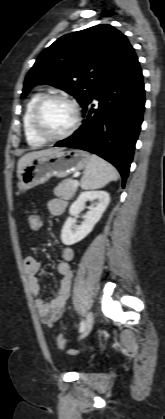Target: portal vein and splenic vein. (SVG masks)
Masks as SVG:
<instances>
[{"instance_id": "18ae733b", "label": "portal vein and splenic vein", "mask_w": 165, "mask_h": 419, "mask_svg": "<svg viewBox=\"0 0 165 419\" xmlns=\"http://www.w3.org/2000/svg\"><path fill=\"white\" fill-rule=\"evenodd\" d=\"M73 185L77 187L79 185V182L77 180H73Z\"/></svg>"}]
</instances>
